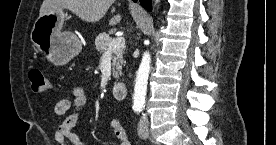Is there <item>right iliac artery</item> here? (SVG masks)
I'll use <instances>...</instances> for the list:
<instances>
[{
	"label": "right iliac artery",
	"instance_id": "obj_1",
	"mask_svg": "<svg viewBox=\"0 0 276 145\" xmlns=\"http://www.w3.org/2000/svg\"><path fill=\"white\" fill-rule=\"evenodd\" d=\"M134 110H135V112H140L141 111L140 108H135Z\"/></svg>",
	"mask_w": 276,
	"mask_h": 145
}]
</instances>
